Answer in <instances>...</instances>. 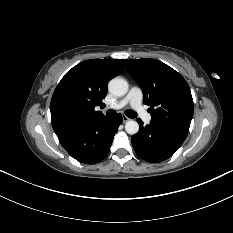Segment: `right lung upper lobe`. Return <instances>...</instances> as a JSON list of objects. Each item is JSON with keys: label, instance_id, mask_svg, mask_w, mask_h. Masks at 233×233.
<instances>
[{"label": "right lung upper lobe", "instance_id": "obj_1", "mask_svg": "<svg viewBox=\"0 0 233 233\" xmlns=\"http://www.w3.org/2000/svg\"><path fill=\"white\" fill-rule=\"evenodd\" d=\"M122 71L123 65L118 59L86 60L69 70L51 99L53 129L104 116L95 107L104 105L102 100L107 94L109 79Z\"/></svg>", "mask_w": 233, "mask_h": 233}]
</instances>
